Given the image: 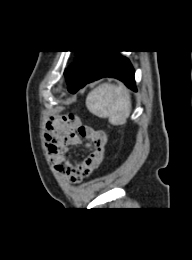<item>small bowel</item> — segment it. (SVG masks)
Returning a JSON list of instances; mask_svg holds the SVG:
<instances>
[{"label": "small bowel", "mask_w": 192, "mask_h": 260, "mask_svg": "<svg viewBox=\"0 0 192 260\" xmlns=\"http://www.w3.org/2000/svg\"><path fill=\"white\" fill-rule=\"evenodd\" d=\"M46 146L50 159L67 182L76 184L96 170L104 155L107 142L103 130L84 125L76 115L53 119L47 125ZM88 140L89 155L81 162L74 163L67 158L69 148Z\"/></svg>", "instance_id": "obj_1"}]
</instances>
